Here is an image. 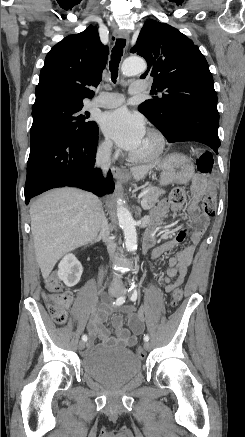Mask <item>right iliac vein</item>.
Returning a JSON list of instances; mask_svg holds the SVG:
<instances>
[{
  "label": "right iliac vein",
  "instance_id": "1",
  "mask_svg": "<svg viewBox=\"0 0 245 437\" xmlns=\"http://www.w3.org/2000/svg\"><path fill=\"white\" fill-rule=\"evenodd\" d=\"M109 294H110L111 296H118L120 293H119L117 290L110 289V290H109ZM84 347H85V342H84V341H80L79 344H78V348H79V350H83Z\"/></svg>",
  "mask_w": 245,
  "mask_h": 437
}]
</instances>
